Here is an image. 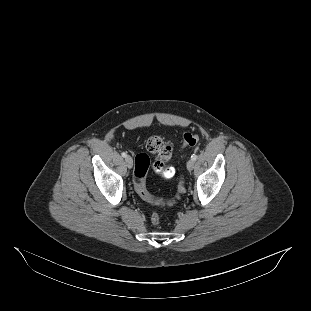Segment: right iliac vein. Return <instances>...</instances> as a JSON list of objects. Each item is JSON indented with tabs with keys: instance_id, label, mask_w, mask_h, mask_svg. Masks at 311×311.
Masks as SVG:
<instances>
[{
	"instance_id": "obj_1",
	"label": "right iliac vein",
	"mask_w": 311,
	"mask_h": 311,
	"mask_svg": "<svg viewBox=\"0 0 311 311\" xmlns=\"http://www.w3.org/2000/svg\"><path fill=\"white\" fill-rule=\"evenodd\" d=\"M125 162L129 169L133 167V159L130 156L125 157Z\"/></svg>"
}]
</instances>
